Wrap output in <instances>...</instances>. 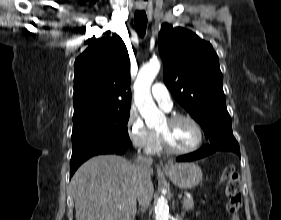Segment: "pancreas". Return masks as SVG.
<instances>
[{
  "instance_id": "pancreas-1",
  "label": "pancreas",
  "mask_w": 281,
  "mask_h": 220,
  "mask_svg": "<svg viewBox=\"0 0 281 220\" xmlns=\"http://www.w3.org/2000/svg\"><path fill=\"white\" fill-rule=\"evenodd\" d=\"M182 204H183V208L185 210H187V211L192 210L194 207V200L192 197H184Z\"/></svg>"
}]
</instances>
